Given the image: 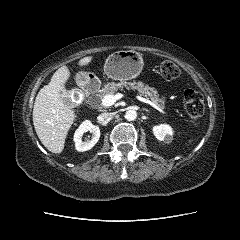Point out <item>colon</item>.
Returning <instances> with one entry per match:
<instances>
[{"instance_id":"5ec220e1","label":"colon","mask_w":240,"mask_h":240,"mask_svg":"<svg viewBox=\"0 0 240 240\" xmlns=\"http://www.w3.org/2000/svg\"><path fill=\"white\" fill-rule=\"evenodd\" d=\"M157 70L160 76L166 80H172L179 76V67L172 61L164 60L158 63ZM184 106L188 117L196 121L204 113V100L202 95L193 88L184 91Z\"/></svg>"}]
</instances>
